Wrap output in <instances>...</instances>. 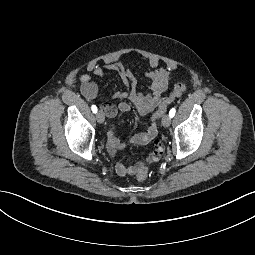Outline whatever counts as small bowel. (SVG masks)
I'll use <instances>...</instances> for the list:
<instances>
[{
    "instance_id": "1",
    "label": "small bowel",
    "mask_w": 255,
    "mask_h": 255,
    "mask_svg": "<svg viewBox=\"0 0 255 255\" xmlns=\"http://www.w3.org/2000/svg\"><path fill=\"white\" fill-rule=\"evenodd\" d=\"M149 66L154 69V71L146 74V78L149 80V89L147 92H140L137 89L136 76L122 62H108L104 63L102 66L92 63L87 66L88 71L98 77H103L106 71L116 73L122 86L121 90L113 94V98L120 101L118 105L108 102L100 105L102 112L105 113L107 117L114 118L118 112H129L131 104L134 105L140 116L148 115L155 110L162 99V95L168 89L172 72L167 67L159 68V61L156 59L150 60ZM79 81L82 95L88 100H95L98 97V87L92 77L83 74L79 76ZM157 133V125L150 124L145 132L135 134L127 142H121L116 136L114 124H111L107 128V145L112 156H115L118 150L124 149L130 145L141 146L152 143L154 146V150L143 162L126 165L123 162L117 161L115 163V171L118 175H135L139 170L150 168L162 157L164 145L157 139Z\"/></svg>"
}]
</instances>
